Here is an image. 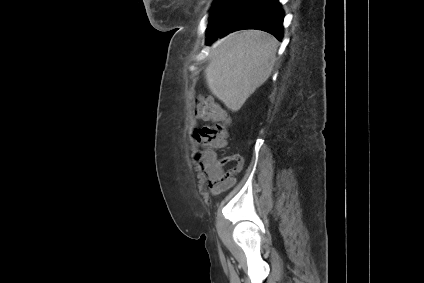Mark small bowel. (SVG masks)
<instances>
[{
	"label": "small bowel",
	"instance_id": "1",
	"mask_svg": "<svg viewBox=\"0 0 424 283\" xmlns=\"http://www.w3.org/2000/svg\"><path fill=\"white\" fill-rule=\"evenodd\" d=\"M233 162L234 166L229 170L225 165ZM244 159L236 154L229 157L218 158L216 164L209 166L204 164V178L212 195H220L230 189L237 180V175L243 168Z\"/></svg>",
	"mask_w": 424,
	"mask_h": 283
}]
</instances>
